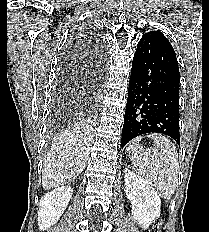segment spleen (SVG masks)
<instances>
[{"mask_svg": "<svg viewBox=\"0 0 209 232\" xmlns=\"http://www.w3.org/2000/svg\"><path fill=\"white\" fill-rule=\"evenodd\" d=\"M154 146L144 150L139 145L140 138L128 145L127 151L135 171L161 192L164 199H170L178 184L179 163L175 145L165 136H148Z\"/></svg>", "mask_w": 209, "mask_h": 232, "instance_id": "spleen-1", "label": "spleen"}]
</instances>
